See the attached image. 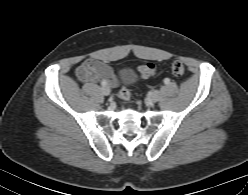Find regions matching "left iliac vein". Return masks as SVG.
Listing matches in <instances>:
<instances>
[{
    "mask_svg": "<svg viewBox=\"0 0 248 195\" xmlns=\"http://www.w3.org/2000/svg\"><path fill=\"white\" fill-rule=\"evenodd\" d=\"M160 99V93L157 90L152 91L151 93V100L153 102H157Z\"/></svg>",
    "mask_w": 248,
    "mask_h": 195,
    "instance_id": "1",
    "label": "left iliac vein"
}]
</instances>
